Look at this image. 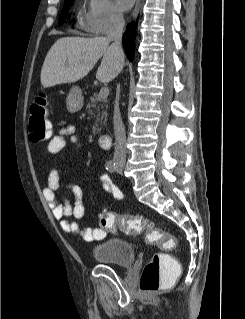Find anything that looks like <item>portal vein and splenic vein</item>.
Masks as SVG:
<instances>
[{"label":"portal vein and splenic vein","instance_id":"obj_1","mask_svg":"<svg viewBox=\"0 0 245 319\" xmlns=\"http://www.w3.org/2000/svg\"><path fill=\"white\" fill-rule=\"evenodd\" d=\"M109 94V89L108 87H102L99 91V97L102 99H105Z\"/></svg>","mask_w":245,"mask_h":319}]
</instances>
